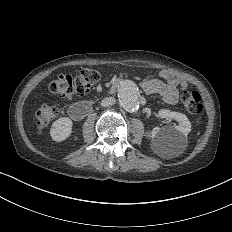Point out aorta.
I'll return each instance as SVG.
<instances>
[{
	"instance_id": "obj_1",
	"label": "aorta",
	"mask_w": 232,
	"mask_h": 232,
	"mask_svg": "<svg viewBox=\"0 0 232 232\" xmlns=\"http://www.w3.org/2000/svg\"><path fill=\"white\" fill-rule=\"evenodd\" d=\"M138 88L130 80L123 81L118 87V97L121 105L127 111L133 112L139 108Z\"/></svg>"
}]
</instances>
